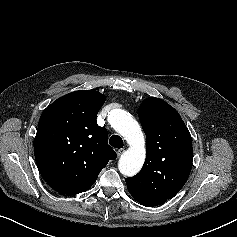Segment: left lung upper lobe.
Segmentation results:
<instances>
[{
    "mask_svg": "<svg viewBox=\"0 0 237 237\" xmlns=\"http://www.w3.org/2000/svg\"><path fill=\"white\" fill-rule=\"evenodd\" d=\"M138 114L147 139L146 160L141 171L125 181L137 202L152 207L175 196L186 183L192 140L179 113L164 100L146 98Z\"/></svg>",
    "mask_w": 237,
    "mask_h": 237,
    "instance_id": "1",
    "label": "left lung upper lobe"
}]
</instances>
